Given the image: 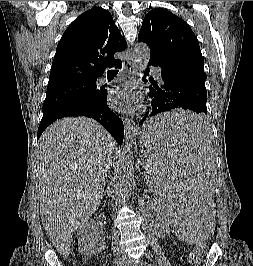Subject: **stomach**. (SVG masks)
<instances>
[{"mask_svg": "<svg viewBox=\"0 0 253 266\" xmlns=\"http://www.w3.org/2000/svg\"><path fill=\"white\" fill-rule=\"evenodd\" d=\"M152 138H157V136H154V132H147V126H145L139 137V143L142 146V151L145 155V151L148 150L149 145H151Z\"/></svg>", "mask_w": 253, "mask_h": 266, "instance_id": "stomach-1", "label": "stomach"}]
</instances>
